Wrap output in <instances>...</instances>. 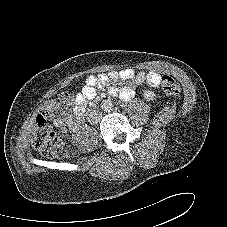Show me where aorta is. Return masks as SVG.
Returning a JSON list of instances; mask_svg holds the SVG:
<instances>
[{"label": "aorta", "mask_w": 227, "mask_h": 227, "mask_svg": "<svg viewBox=\"0 0 227 227\" xmlns=\"http://www.w3.org/2000/svg\"><path fill=\"white\" fill-rule=\"evenodd\" d=\"M101 108H102L104 111H106V112L112 110V108H113L112 101H110V100H104V101L102 102Z\"/></svg>", "instance_id": "aorta-1"}]
</instances>
